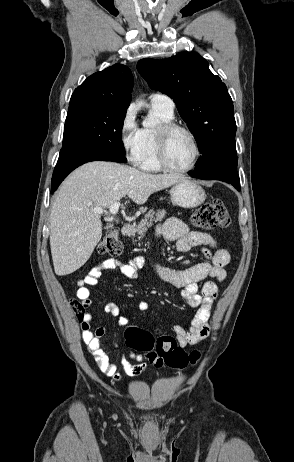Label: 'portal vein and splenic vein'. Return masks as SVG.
Returning a JSON list of instances; mask_svg holds the SVG:
<instances>
[{
    "label": "portal vein and splenic vein",
    "mask_w": 294,
    "mask_h": 462,
    "mask_svg": "<svg viewBox=\"0 0 294 462\" xmlns=\"http://www.w3.org/2000/svg\"><path fill=\"white\" fill-rule=\"evenodd\" d=\"M120 207V202L116 201L114 202L110 207H109V213L112 215H116L118 213ZM92 211L96 214H103V213H108V211L102 209V208H92Z\"/></svg>",
    "instance_id": "1"
}]
</instances>
